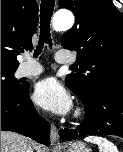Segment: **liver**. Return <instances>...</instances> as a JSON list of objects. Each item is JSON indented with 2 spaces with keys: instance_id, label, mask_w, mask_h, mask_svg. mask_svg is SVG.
<instances>
[{
  "instance_id": "1",
  "label": "liver",
  "mask_w": 123,
  "mask_h": 152,
  "mask_svg": "<svg viewBox=\"0 0 123 152\" xmlns=\"http://www.w3.org/2000/svg\"><path fill=\"white\" fill-rule=\"evenodd\" d=\"M32 145L38 152H43L41 146L27 137L14 132L1 131V152H28Z\"/></svg>"
}]
</instances>
